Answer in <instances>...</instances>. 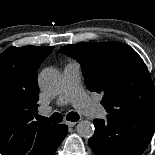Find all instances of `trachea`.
<instances>
[{
    "mask_svg": "<svg viewBox=\"0 0 155 155\" xmlns=\"http://www.w3.org/2000/svg\"><path fill=\"white\" fill-rule=\"evenodd\" d=\"M79 114L77 112H70L67 114L66 119L68 121H78L79 120ZM40 121H46L50 123H60L63 121V116L60 113H54L51 115V117H43L39 116L38 118Z\"/></svg>",
    "mask_w": 155,
    "mask_h": 155,
    "instance_id": "obj_1",
    "label": "trachea"
}]
</instances>
